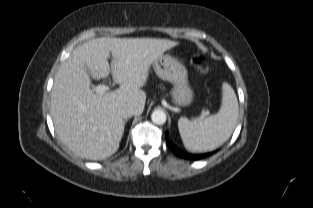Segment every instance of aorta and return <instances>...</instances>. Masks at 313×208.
Segmentation results:
<instances>
[{
    "label": "aorta",
    "mask_w": 313,
    "mask_h": 208,
    "mask_svg": "<svg viewBox=\"0 0 313 208\" xmlns=\"http://www.w3.org/2000/svg\"><path fill=\"white\" fill-rule=\"evenodd\" d=\"M151 119L153 121V123L157 124V125H162L166 122V113L163 111V110H154L152 112V115H151Z\"/></svg>",
    "instance_id": "aorta-1"
}]
</instances>
